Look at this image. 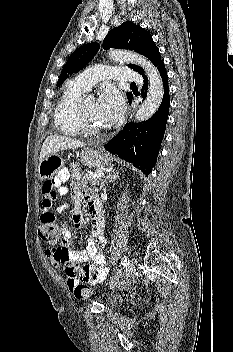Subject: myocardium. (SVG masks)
<instances>
[{
  "mask_svg": "<svg viewBox=\"0 0 233 352\" xmlns=\"http://www.w3.org/2000/svg\"><path fill=\"white\" fill-rule=\"evenodd\" d=\"M77 119H78L80 129L83 133L98 134L103 131L102 128H98V127H95V126H92L89 124V122L87 121V118L85 116L82 103L78 104Z\"/></svg>",
  "mask_w": 233,
  "mask_h": 352,
  "instance_id": "f54148a6",
  "label": "myocardium"
}]
</instances>
